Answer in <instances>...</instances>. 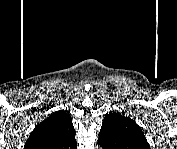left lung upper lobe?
Wrapping results in <instances>:
<instances>
[{"label": "left lung upper lobe", "instance_id": "obj_1", "mask_svg": "<svg viewBox=\"0 0 177 149\" xmlns=\"http://www.w3.org/2000/svg\"><path fill=\"white\" fill-rule=\"evenodd\" d=\"M98 143L104 149H148L141 127L129 117L111 112L104 117Z\"/></svg>", "mask_w": 177, "mask_h": 149}]
</instances>
